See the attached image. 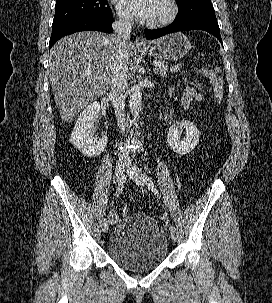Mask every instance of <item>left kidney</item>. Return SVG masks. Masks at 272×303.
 Returning <instances> with one entry per match:
<instances>
[{
  "label": "left kidney",
  "instance_id": "5707ae66",
  "mask_svg": "<svg viewBox=\"0 0 272 303\" xmlns=\"http://www.w3.org/2000/svg\"><path fill=\"white\" fill-rule=\"evenodd\" d=\"M185 129V137L180 140L182 130ZM167 142L171 149L179 155H185L195 149L199 142V130L193 122L183 121L172 125L167 132Z\"/></svg>",
  "mask_w": 272,
  "mask_h": 303
}]
</instances>
